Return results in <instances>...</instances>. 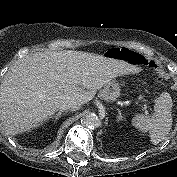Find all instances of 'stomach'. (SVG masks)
<instances>
[{"mask_svg": "<svg viewBox=\"0 0 177 177\" xmlns=\"http://www.w3.org/2000/svg\"><path fill=\"white\" fill-rule=\"evenodd\" d=\"M109 58H116L127 62L138 69L146 64L147 58L140 52L127 48H112L107 51ZM120 96V86L116 80H111L100 91V97L106 102H114Z\"/></svg>", "mask_w": 177, "mask_h": 177, "instance_id": "0dacf381", "label": "stomach"}]
</instances>
